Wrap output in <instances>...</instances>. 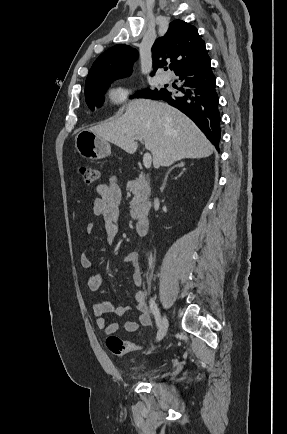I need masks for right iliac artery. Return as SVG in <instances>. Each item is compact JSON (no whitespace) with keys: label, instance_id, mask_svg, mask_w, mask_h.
I'll use <instances>...</instances> for the list:
<instances>
[{"label":"right iliac artery","instance_id":"1","mask_svg":"<svg viewBox=\"0 0 287 434\" xmlns=\"http://www.w3.org/2000/svg\"><path fill=\"white\" fill-rule=\"evenodd\" d=\"M150 309H151V312L153 313V315L155 317L156 326L160 327V325H161V316H160L159 310L157 308V305H156L154 299L150 300Z\"/></svg>","mask_w":287,"mask_h":434}]
</instances>
